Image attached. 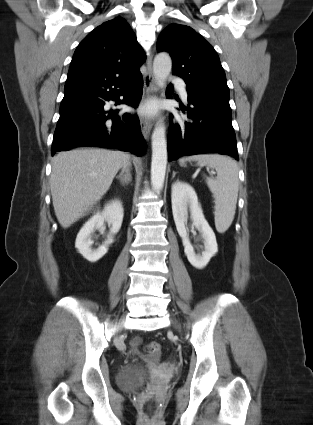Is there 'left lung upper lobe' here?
I'll return each mask as SVG.
<instances>
[{
  "label": "left lung upper lobe",
  "mask_w": 313,
  "mask_h": 425,
  "mask_svg": "<svg viewBox=\"0 0 313 425\" xmlns=\"http://www.w3.org/2000/svg\"><path fill=\"white\" fill-rule=\"evenodd\" d=\"M157 50L170 54L173 74L184 79L188 88L229 98L216 51L191 27L175 23L167 26L158 39Z\"/></svg>",
  "instance_id": "obj_1"
}]
</instances>
